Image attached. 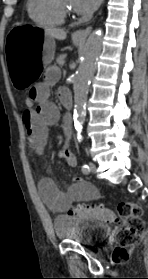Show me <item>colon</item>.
<instances>
[{"instance_id": "1", "label": "colon", "mask_w": 148, "mask_h": 279, "mask_svg": "<svg viewBox=\"0 0 148 279\" xmlns=\"http://www.w3.org/2000/svg\"><path fill=\"white\" fill-rule=\"evenodd\" d=\"M33 104L34 98L28 94L25 97V105L26 107H31ZM69 214L107 223H122L115 236L117 246L112 255L116 263H121L128 259L131 247L145 230L143 208L133 202H121L115 211L104 206L78 205L72 207L69 210Z\"/></svg>"}]
</instances>
